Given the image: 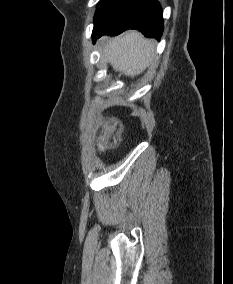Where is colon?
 <instances>
[{"mask_svg":"<svg viewBox=\"0 0 233 284\" xmlns=\"http://www.w3.org/2000/svg\"><path fill=\"white\" fill-rule=\"evenodd\" d=\"M109 132H110V129L107 128V129L105 130V134L107 135ZM102 148H103V145H102Z\"/></svg>","mask_w":233,"mask_h":284,"instance_id":"1","label":"colon"}]
</instances>
